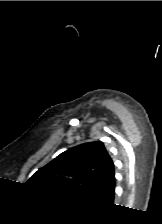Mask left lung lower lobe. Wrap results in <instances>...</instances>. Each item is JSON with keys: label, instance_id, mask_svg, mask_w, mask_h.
I'll use <instances>...</instances> for the list:
<instances>
[{"label": "left lung lower lobe", "instance_id": "0a47b994", "mask_svg": "<svg viewBox=\"0 0 162 224\" xmlns=\"http://www.w3.org/2000/svg\"><path fill=\"white\" fill-rule=\"evenodd\" d=\"M115 177L114 173L103 183V185L91 193L86 199L102 204L111 205L114 200Z\"/></svg>", "mask_w": 162, "mask_h": 224}]
</instances>
